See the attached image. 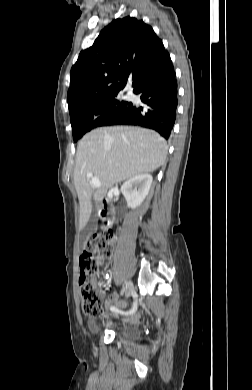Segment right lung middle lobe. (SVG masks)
Masks as SVG:
<instances>
[{"mask_svg":"<svg viewBox=\"0 0 252 390\" xmlns=\"http://www.w3.org/2000/svg\"><path fill=\"white\" fill-rule=\"evenodd\" d=\"M116 95L95 100L70 110V121L74 142L91 129L105 126L127 111L132 103L120 102Z\"/></svg>","mask_w":252,"mask_h":390,"instance_id":"obj_1","label":"right lung middle lobe"}]
</instances>
